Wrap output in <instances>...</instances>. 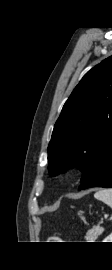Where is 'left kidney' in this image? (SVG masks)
Instances as JSON below:
<instances>
[{
    "label": "left kidney",
    "instance_id": "1",
    "mask_svg": "<svg viewBox=\"0 0 112 270\" xmlns=\"http://www.w3.org/2000/svg\"><path fill=\"white\" fill-rule=\"evenodd\" d=\"M103 242H112V233Z\"/></svg>",
    "mask_w": 112,
    "mask_h": 270
}]
</instances>
